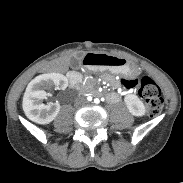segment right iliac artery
<instances>
[{
  "mask_svg": "<svg viewBox=\"0 0 183 183\" xmlns=\"http://www.w3.org/2000/svg\"><path fill=\"white\" fill-rule=\"evenodd\" d=\"M87 100H88V101H92V97H91V96H88V97H87Z\"/></svg>",
  "mask_w": 183,
  "mask_h": 183,
  "instance_id": "1",
  "label": "right iliac artery"
}]
</instances>
